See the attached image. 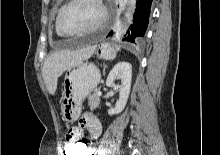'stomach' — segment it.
Wrapping results in <instances>:
<instances>
[{"mask_svg":"<svg viewBox=\"0 0 220 155\" xmlns=\"http://www.w3.org/2000/svg\"><path fill=\"white\" fill-rule=\"evenodd\" d=\"M119 47L104 43L97 48L99 56L113 59ZM101 75L99 69L91 63H82L70 70L64 79V90L60 101L62 119L72 123L78 119L82 110V103L95 90Z\"/></svg>","mask_w":220,"mask_h":155,"instance_id":"1","label":"stomach"}]
</instances>
